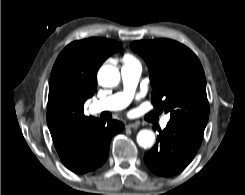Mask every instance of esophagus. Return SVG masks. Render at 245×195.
Listing matches in <instances>:
<instances>
[{
    "instance_id": "1",
    "label": "esophagus",
    "mask_w": 245,
    "mask_h": 195,
    "mask_svg": "<svg viewBox=\"0 0 245 195\" xmlns=\"http://www.w3.org/2000/svg\"><path fill=\"white\" fill-rule=\"evenodd\" d=\"M140 126L138 122H130L126 125V128L137 129Z\"/></svg>"
}]
</instances>
